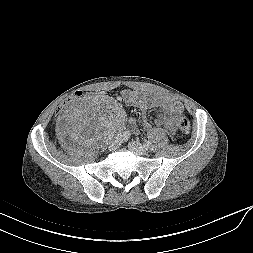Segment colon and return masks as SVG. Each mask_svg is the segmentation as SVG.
<instances>
[{
    "instance_id": "colon-1",
    "label": "colon",
    "mask_w": 253,
    "mask_h": 253,
    "mask_svg": "<svg viewBox=\"0 0 253 253\" xmlns=\"http://www.w3.org/2000/svg\"><path fill=\"white\" fill-rule=\"evenodd\" d=\"M96 94V91L94 89H81L76 93H73L71 96L66 98L64 101L60 103L58 106V111L60 113H63L67 108H69L72 104L75 103V101L80 100L81 98L87 97H93ZM178 128L182 133H189L191 129L190 122L187 118H181L178 121Z\"/></svg>"
}]
</instances>
